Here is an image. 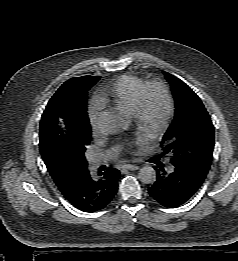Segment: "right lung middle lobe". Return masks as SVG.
<instances>
[{
    "instance_id": "right-lung-middle-lobe-1",
    "label": "right lung middle lobe",
    "mask_w": 238,
    "mask_h": 261,
    "mask_svg": "<svg viewBox=\"0 0 238 261\" xmlns=\"http://www.w3.org/2000/svg\"><path fill=\"white\" fill-rule=\"evenodd\" d=\"M99 78H72L48 102L40 122L39 148L50 173L70 176L87 168L84 154L90 133L84 139L69 142L62 136L58 121L68 119L89 128L87 92Z\"/></svg>"
}]
</instances>
